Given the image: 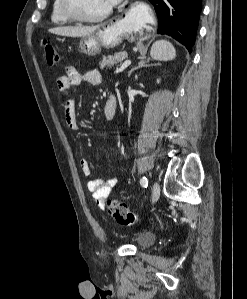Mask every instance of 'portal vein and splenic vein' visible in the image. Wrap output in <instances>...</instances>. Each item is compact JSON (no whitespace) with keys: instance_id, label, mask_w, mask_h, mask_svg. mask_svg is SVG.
Here are the masks:
<instances>
[{"instance_id":"obj_1","label":"portal vein and splenic vein","mask_w":247,"mask_h":299,"mask_svg":"<svg viewBox=\"0 0 247 299\" xmlns=\"http://www.w3.org/2000/svg\"><path fill=\"white\" fill-rule=\"evenodd\" d=\"M131 64V60H126L123 62V64L118 68L115 72L119 73L122 72L124 69H126Z\"/></svg>"}]
</instances>
